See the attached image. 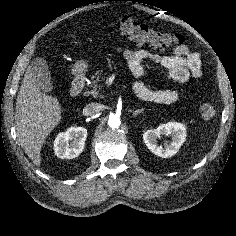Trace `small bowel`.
<instances>
[{"mask_svg":"<svg viewBox=\"0 0 236 236\" xmlns=\"http://www.w3.org/2000/svg\"><path fill=\"white\" fill-rule=\"evenodd\" d=\"M117 52L123 55L131 74L137 79L133 85L135 95L145 101L171 104L179 98V93L176 90H154L143 82L146 77L144 67L146 61L165 68L168 77L180 84L202 79L200 55L191 51L186 45L178 46L171 55L158 54L145 49L132 50L123 47H118Z\"/></svg>","mask_w":236,"mask_h":236,"instance_id":"1","label":"small bowel"}]
</instances>
